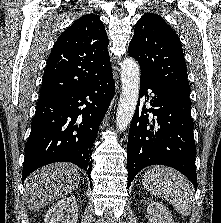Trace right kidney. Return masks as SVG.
Wrapping results in <instances>:
<instances>
[{
  "instance_id": "right-kidney-1",
  "label": "right kidney",
  "mask_w": 221,
  "mask_h": 223,
  "mask_svg": "<svg viewBox=\"0 0 221 223\" xmlns=\"http://www.w3.org/2000/svg\"><path fill=\"white\" fill-rule=\"evenodd\" d=\"M78 203L75 196L62 198L46 213L45 223H77Z\"/></svg>"
}]
</instances>
